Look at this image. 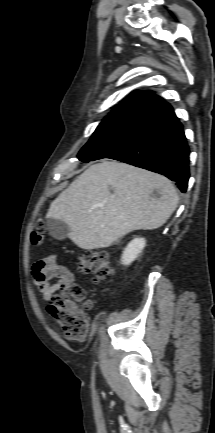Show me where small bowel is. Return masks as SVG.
Masks as SVG:
<instances>
[{
    "label": "small bowel",
    "mask_w": 215,
    "mask_h": 433,
    "mask_svg": "<svg viewBox=\"0 0 215 433\" xmlns=\"http://www.w3.org/2000/svg\"><path fill=\"white\" fill-rule=\"evenodd\" d=\"M33 282L43 299L49 301L58 291L67 290L75 281L73 272L57 262L52 254L36 261L31 269Z\"/></svg>",
    "instance_id": "small-bowel-1"
}]
</instances>
